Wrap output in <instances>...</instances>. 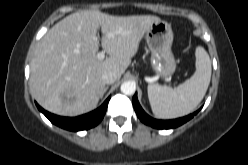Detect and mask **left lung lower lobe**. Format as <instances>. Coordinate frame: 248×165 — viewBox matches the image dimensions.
<instances>
[{
    "mask_svg": "<svg viewBox=\"0 0 248 165\" xmlns=\"http://www.w3.org/2000/svg\"><path fill=\"white\" fill-rule=\"evenodd\" d=\"M132 101H133L135 112L137 116L139 117V119L146 125H150L153 128H157V129L176 128L182 125L183 123L187 122L188 120H190L194 115L198 113V111H196L195 113L190 114L186 117H182V118H178L174 120H156V119L151 118L149 115H147L144 112V110L141 108L138 102V99H137V93L133 96Z\"/></svg>",
    "mask_w": 248,
    "mask_h": 165,
    "instance_id": "left-lung-lower-lobe-1",
    "label": "left lung lower lobe"
}]
</instances>
